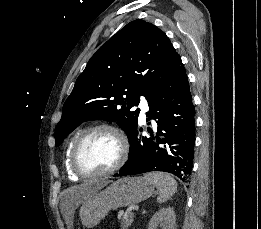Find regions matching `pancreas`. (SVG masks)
<instances>
[{"mask_svg": "<svg viewBox=\"0 0 261 229\" xmlns=\"http://www.w3.org/2000/svg\"><path fill=\"white\" fill-rule=\"evenodd\" d=\"M134 213H129L128 219H121L120 227L121 229H129L130 225L133 223Z\"/></svg>", "mask_w": 261, "mask_h": 229, "instance_id": "pancreas-1", "label": "pancreas"}]
</instances>
